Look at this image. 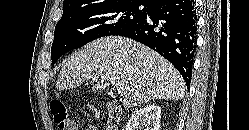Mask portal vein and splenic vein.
<instances>
[{"mask_svg": "<svg viewBox=\"0 0 249 130\" xmlns=\"http://www.w3.org/2000/svg\"><path fill=\"white\" fill-rule=\"evenodd\" d=\"M125 91H126L125 87H119L118 88V94L121 95V96L125 94Z\"/></svg>", "mask_w": 249, "mask_h": 130, "instance_id": "18ae733b", "label": "portal vein and splenic vein"}]
</instances>
